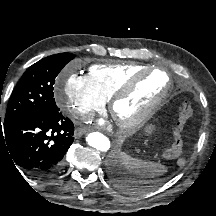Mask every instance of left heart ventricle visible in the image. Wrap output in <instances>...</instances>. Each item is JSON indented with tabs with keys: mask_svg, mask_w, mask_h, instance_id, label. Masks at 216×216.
I'll return each mask as SVG.
<instances>
[{
	"mask_svg": "<svg viewBox=\"0 0 216 216\" xmlns=\"http://www.w3.org/2000/svg\"><path fill=\"white\" fill-rule=\"evenodd\" d=\"M166 84L167 78L164 74L159 72L154 73L139 86L132 97L117 105L116 115L122 119L137 116L165 88Z\"/></svg>",
	"mask_w": 216,
	"mask_h": 216,
	"instance_id": "b2bd125f",
	"label": "left heart ventricle"
}]
</instances>
